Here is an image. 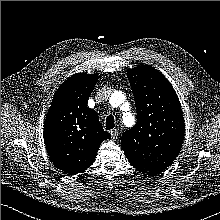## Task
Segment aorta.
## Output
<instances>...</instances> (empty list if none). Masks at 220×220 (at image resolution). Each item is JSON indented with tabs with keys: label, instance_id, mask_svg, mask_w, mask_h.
Segmentation results:
<instances>
[{
	"label": "aorta",
	"instance_id": "1",
	"mask_svg": "<svg viewBox=\"0 0 220 220\" xmlns=\"http://www.w3.org/2000/svg\"><path fill=\"white\" fill-rule=\"evenodd\" d=\"M112 97H113L114 99H120L121 101H124V100H125V96H124L121 92H115V93L112 95ZM126 118L133 120V117H132V115H130V114H128L126 117H124V119H126Z\"/></svg>",
	"mask_w": 220,
	"mask_h": 220
}]
</instances>
